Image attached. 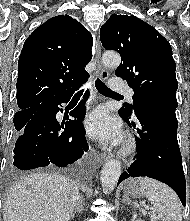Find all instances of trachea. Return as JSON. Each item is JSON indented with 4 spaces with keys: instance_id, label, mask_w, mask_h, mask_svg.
Instances as JSON below:
<instances>
[{
    "instance_id": "obj_1",
    "label": "trachea",
    "mask_w": 190,
    "mask_h": 221,
    "mask_svg": "<svg viewBox=\"0 0 190 221\" xmlns=\"http://www.w3.org/2000/svg\"><path fill=\"white\" fill-rule=\"evenodd\" d=\"M96 89L103 95H117L114 91L110 90L100 79L95 81ZM83 89L78 91L75 95H82Z\"/></svg>"
}]
</instances>
